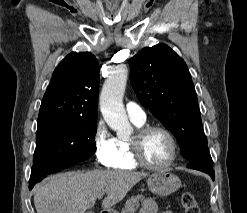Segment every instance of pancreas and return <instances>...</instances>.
Masks as SVG:
<instances>
[{"instance_id":"1","label":"pancreas","mask_w":247,"mask_h":213,"mask_svg":"<svg viewBox=\"0 0 247 213\" xmlns=\"http://www.w3.org/2000/svg\"><path fill=\"white\" fill-rule=\"evenodd\" d=\"M144 200L142 195L131 196L126 202L121 213H135L140 206V201Z\"/></svg>"}]
</instances>
